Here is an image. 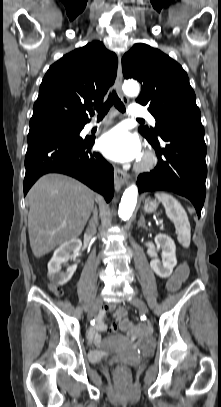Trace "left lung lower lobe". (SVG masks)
I'll return each mask as SVG.
<instances>
[{"label": "left lung lower lobe", "instance_id": "0a47b994", "mask_svg": "<svg viewBox=\"0 0 221 407\" xmlns=\"http://www.w3.org/2000/svg\"><path fill=\"white\" fill-rule=\"evenodd\" d=\"M147 138L159 159L149 173L138 176L139 192L168 190L190 199L198 217L204 204L207 176L204 128L197 119H175Z\"/></svg>", "mask_w": 221, "mask_h": 407}]
</instances>
